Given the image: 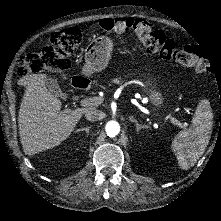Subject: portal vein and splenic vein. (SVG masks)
<instances>
[{"mask_svg": "<svg viewBox=\"0 0 221 221\" xmlns=\"http://www.w3.org/2000/svg\"><path fill=\"white\" fill-rule=\"evenodd\" d=\"M103 98L102 97H93V98H85L81 100V106H91V105H97L102 104ZM171 123L174 125H178L179 127H182V125L178 122V120L175 117H170Z\"/></svg>", "mask_w": 221, "mask_h": 221, "instance_id": "portal-vein-and-splenic-vein-1", "label": "portal vein and splenic vein"}]
</instances>
